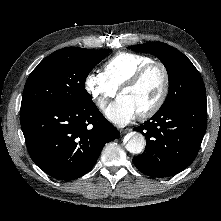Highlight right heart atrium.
Masks as SVG:
<instances>
[{
	"label": "right heart atrium",
	"instance_id": "1",
	"mask_svg": "<svg viewBox=\"0 0 221 221\" xmlns=\"http://www.w3.org/2000/svg\"><path fill=\"white\" fill-rule=\"evenodd\" d=\"M83 85L87 94L100 110L106 108L108 102L117 94L118 90L102 72L98 71L89 72L84 78Z\"/></svg>",
	"mask_w": 221,
	"mask_h": 221
}]
</instances>
